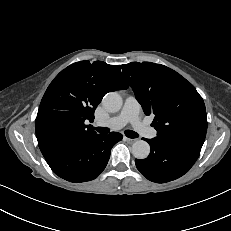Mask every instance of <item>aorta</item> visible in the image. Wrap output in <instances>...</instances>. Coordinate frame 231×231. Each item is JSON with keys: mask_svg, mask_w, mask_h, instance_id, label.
I'll list each match as a JSON object with an SVG mask.
<instances>
[{"mask_svg": "<svg viewBox=\"0 0 231 231\" xmlns=\"http://www.w3.org/2000/svg\"><path fill=\"white\" fill-rule=\"evenodd\" d=\"M104 108L109 112H117L122 107V98L116 92L107 93L102 100ZM133 156L137 159H145L150 153V146L146 141L137 140L132 145Z\"/></svg>", "mask_w": 231, "mask_h": 231, "instance_id": "1", "label": "aorta"}]
</instances>
